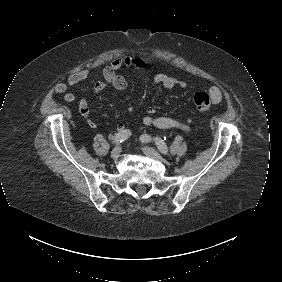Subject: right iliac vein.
I'll return each mask as SVG.
<instances>
[{
    "mask_svg": "<svg viewBox=\"0 0 282 282\" xmlns=\"http://www.w3.org/2000/svg\"><path fill=\"white\" fill-rule=\"evenodd\" d=\"M121 153V147L117 146L115 147L111 152V158L117 159L120 156Z\"/></svg>",
    "mask_w": 282,
    "mask_h": 282,
    "instance_id": "right-iliac-vein-1",
    "label": "right iliac vein"
}]
</instances>
